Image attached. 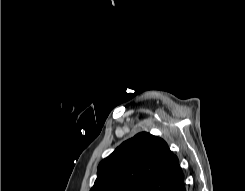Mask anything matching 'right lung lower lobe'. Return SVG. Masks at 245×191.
<instances>
[{"label": "right lung lower lobe", "mask_w": 245, "mask_h": 191, "mask_svg": "<svg viewBox=\"0 0 245 191\" xmlns=\"http://www.w3.org/2000/svg\"><path fill=\"white\" fill-rule=\"evenodd\" d=\"M170 191H186L184 181H182L179 184H177L176 186H174L172 189H170Z\"/></svg>", "instance_id": "obj_1"}]
</instances>
